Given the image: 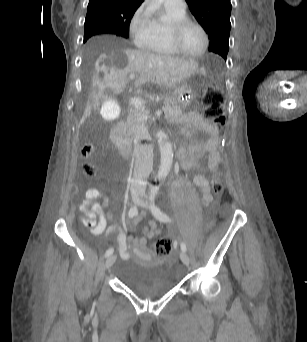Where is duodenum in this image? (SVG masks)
Segmentation results:
<instances>
[{"instance_id": "1", "label": "duodenum", "mask_w": 307, "mask_h": 342, "mask_svg": "<svg viewBox=\"0 0 307 342\" xmlns=\"http://www.w3.org/2000/svg\"><path fill=\"white\" fill-rule=\"evenodd\" d=\"M120 121L121 122H118L112 130L111 140L115 148L119 151V153L123 156H126L129 152V147L125 127L123 124L125 120L122 118ZM180 150L181 149L177 151L178 154Z\"/></svg>"}]
</instances>
